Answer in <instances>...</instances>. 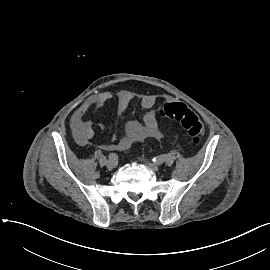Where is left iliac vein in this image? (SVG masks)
Listing matches in <instances>:
<instances>
[{"label": "left iliac vein", "instance_id": "left-iliac-vein-1", "mask_svg": "<svg viewBox=\"0 0 270 270\" xmlns=\"http://www.w3.org/2000/svg\"><path fill=\"white\" fill-rule=\"evenodd\" d=\"M147 166L151 169V170H154V171H157L159 169V166L157 164H154V163H150V162H147Z\"/></svg>", "mask_w": 270, "mask_h": 270}]
</instances>
